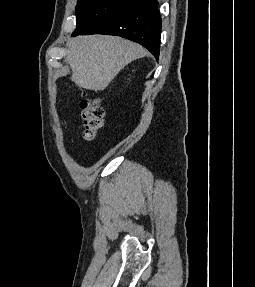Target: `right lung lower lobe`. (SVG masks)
<instances>
[{
    "mask_svg": "<svg viewBox=\"0 0 255 287\" xmlns=\"http://www.w3.org/2000/svg\"><path fill=\"white\" fill-rule=\"evenodd\" d=\"M157 0L128 3L77 35L108 34L135 41L159 57L161 17Z\"/></svg>",
    "mask_w": 255,
    "mask_h": 287,
    "instance_id": "right-lung-lower-lobe-1",
    "label": "right lung lower lobe"
}]
</instances>
